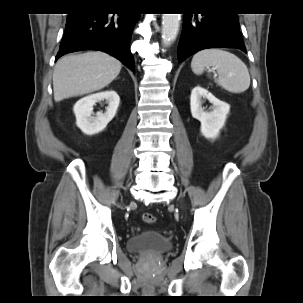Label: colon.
Masks as SVG:
<instances>
[{
    "label": "colon",
    "mask_w": 303,
    "mask_h": 303,
    "mask_svg": "<svg viewBox=\"0 0 303 303\" xmlns=\"http://www.w3.org/2000/svg\"><path fill=\"white\" fill-rule=\"evenodd\" d=\"M142 219L147 224H153L156 221L155 216L151 213H144Z\"/></svg>",
    "instance_id": "1"
}]
</instances>
